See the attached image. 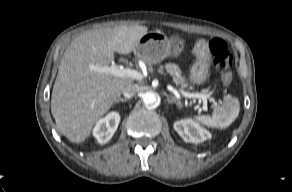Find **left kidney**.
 <instances>
[{
    "instance_id": "left-kidney-1",
    "label": "left kidney",
    "mask_w": 292,
    "mask_h": 192,
    "mask_svg": "<svg viewBox=\"0 0 292 192\" xmlns=\"http://www.w3.org/2000/svg\"><path fill=\"white\" fill-rule=\"evenodd\" d=\"M174 129L185 142L201 143L211 137L210 132L201 128L200 125L191 119L176 121Z\"/></svg>"
}]
</instances>
